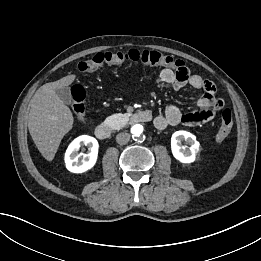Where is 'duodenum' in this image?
I'll return each instance as SVG.
<instances>
[{"mask_svg":"<svg viewBox=\"0 0 261 261\" xmlns=\"http://www.w3.org/2000/svg\"><path fill=\"white\" fill-rule=\"evenodd\" d=\"M152 119V115L147 110H138L134 112L130 120L133 123H142V122H148ZM113 133V129L109 124L101 123L95 128V135L97 138L101 140H105L111 137Z\"/></svg>","mask_w":261,"mask_h":261,"instance_id":"obj_1","label":"duodenum"}]
</instances>
